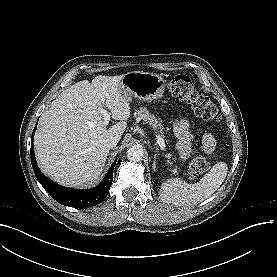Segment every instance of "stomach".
<instances>
[{
	"mask_svg": "<svg viewBox=\"0 0 277 277\" xmlns=\"http://www.w3.org/2000/svg\"><path fill=\"white\" fill-rule=\"evenodd\" d=\"M166 81L156 73L131 71L123 75L119 88L129 101L132 97L142 101L160 99L165 91Z\"/></svg>",
	"mask_w": 277,
	"mask_h": 277,
	"instance_id": "1",
	"label": "stomach"
}]
</instances>
